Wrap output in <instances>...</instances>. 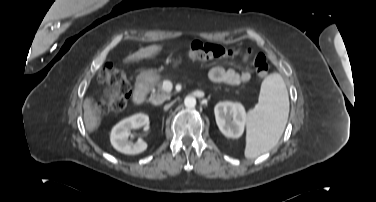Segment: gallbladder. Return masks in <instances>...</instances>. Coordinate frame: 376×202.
<instances>
[{"label":"gallbladder","mask_w":376,"mask_h":202,"mask_svg":"<svg viewBox=\"0 0 376 202\" xmlns=\"http://www.w3.org/2000/svg\"><path fill=\"white\" fill-rule=\"evenodd\" d=\"M105 93H106V95H107L108 97L112 95V93H111L110 90H106Z\"/></svg>","instance_id":"1"}]
</instances>
